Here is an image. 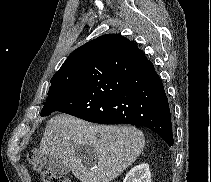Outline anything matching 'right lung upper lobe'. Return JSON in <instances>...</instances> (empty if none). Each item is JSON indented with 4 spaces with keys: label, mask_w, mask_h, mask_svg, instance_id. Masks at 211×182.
Listing matches in <instances>:
<instances>
[{
    "label": "right lung upper lobe",
    "mask_w": 211,
    "mask_h": 182,
    "mask_svg": "<svg viewBox=\"0 0 211 182\" xmlns=\"http://www.w3.org/2000/svg\"><path fill=\"white\" fill-rule=\"evenodd\" d=\"M95 39L92 41L87 42L86 44L82 45L81 47L74 50L66 59L62 67L59 69H64L67 67L75 66L78 64H88L90 54L94 45ZM58 70V71H59Z\"/></svg>",
    "instance_id": "cb5924a9"
}]
</instances>
